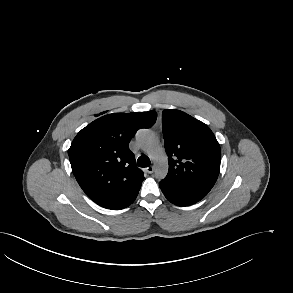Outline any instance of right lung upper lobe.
I'll return each mask as SVG.
<instances>
[{"mask_svg": "<svg viewBox=\"0 0 293 293\" xmlns=\"http://www.w3.org/2000/svg\"><path fill=\"white\" fill-rule=\"evenodd\" d=\"M155 111L102 116L74 138L68 155L85 194L101 207L120 210L136 199L144 179L129 142L140 128H150Z\"/></svg>", "mask_w": 293, "mask_h": 293, "instance_id": "1", "label": "right lung upper lobe"}]
</instances>
